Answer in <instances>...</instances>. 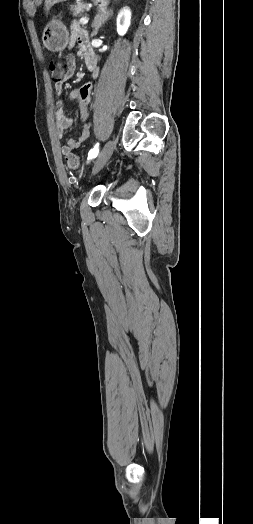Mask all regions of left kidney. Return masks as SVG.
Instances as JSON below:
<instances>
[{
  "mask_svg": "<svg viewBox=\"0 0 253 524\" xmlns=\"http://www.w3.org/2000/svg\"><path fill=\"white\" fill-rule=\"evenodd\" d=\"M131 21V11L128 7L121 9L117 16V32L123 36L126 34Z\"/></svg>",
  "mask_w": 253,
  "mask_h": 524,
  "instance_id": "obj_1",
  "label": "left kidney"
}]
</instances>
